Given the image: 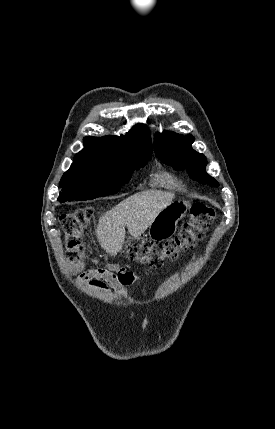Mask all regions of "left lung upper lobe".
<instances>
[{"mask_svg":"<svg viewBox=\"0 0 275 429\" xmlns=\"http://www.w3.org/2000/svg\"><path fill=\"white\" fill-rule=\"evenodd\" d=\"M194 137L164 131L155 135L154 147L158 158L175 170H187L189 176L202 184L218 187V182L205 170L207 160L192 149Z\"/></svg>","mask_w":275,"mask_h":429,"instance_id":"5c2ea615","label":"left lung upper lobe"}]
</instances>
